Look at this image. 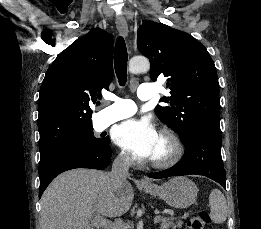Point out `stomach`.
<instances>
[{
    "instance_id": "0dacf381",
    "label": "stomach",
    "mask_w": 261,
    "mask_h": 229,
    "mask_svg": "<svg viewBox=\"0 0 261 229\" xmlns=\"http://www.w3.org/2000/svg\"><path fill=\"white\" fill-rule=\"evenodd\" d=\"M143 191H146L148 195H153V197H160L174 209H187L195 203L198 195L195 183H192L186 177H173L161 187H158V185L143 187Z\"/></svg>"
}]
</instances>
